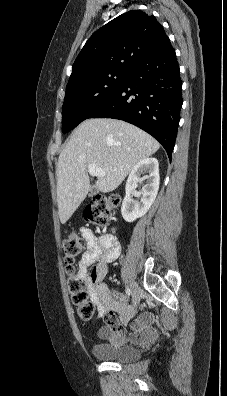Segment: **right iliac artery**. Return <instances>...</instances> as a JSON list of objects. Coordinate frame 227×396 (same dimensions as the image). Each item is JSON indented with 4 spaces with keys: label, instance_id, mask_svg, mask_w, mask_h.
<instances>
[{
    "label": "right iliac artery",
    "instance_id": "right-iliac-artery-1",
    "mask_svg": "<svg viewBox=\"0 0 227 396\" xmlns=\"http://www.w3.org/2000/svg\"><path fill=\"white\" fill-rule=\"evenodd\" d=\"M125 291H126V294H127L128 296H130V295L132 294L130 288H126Z\"/></svg>",
    "mask_w": 227,
    "mask_h": 396
}]
</instances>
